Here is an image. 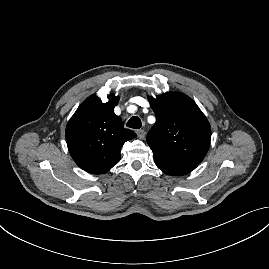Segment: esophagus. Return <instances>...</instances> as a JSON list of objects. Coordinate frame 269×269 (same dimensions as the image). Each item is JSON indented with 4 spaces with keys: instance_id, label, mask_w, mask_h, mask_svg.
<instances>
[{
    "instance_id": "1",
    "label": "esophagus",
    "mask_w": 269,
    "mask_h": 269,
    "mask_svg": "<svg viewBox=\"0 0 269 269\" xmlns=\"http://www.w3.org/2000/svg\"><path fill=\"white\" fill-rule=\"evenodd\" d=\"M137 135L139 136L140 139L145 138V131L144 130H137Z\"/></svg>"
}]
</instances>
